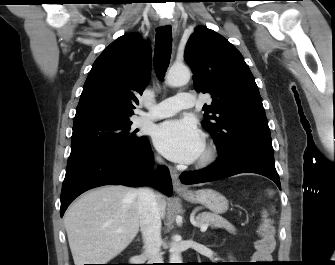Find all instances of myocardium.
Instances as JSON below:
<instances>
[{
    "mask_svg": "<svg viewBox=\"0 0 335 265\" xmlns=\"http://www.w3.org/2000/svg\"><path fill=\"white\" fill-rule=\"evenodd\" d=\"M218 156V149L216 145L213 142H207L204 145L203 152L199 156L197 160V167L199 168H205L209 165H211Z\"/></svg>",
    "mask_w": 335,
    "mask_h": 265,
    "instance_id": "f54148a6",
    "label": "myocardium"
}]
</instances>
